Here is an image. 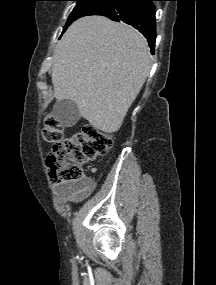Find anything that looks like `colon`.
<instances>
[{
    "mask_svg": "<svg viewBox=\"0 0 216 285\" xmlns=\"http://www.w3.org/2000/svg\"><path fill=\"white\" fill-rule=\"evenodd\" d=\"M43 137L52 144L47 166L56 183L80 181L82 164L105 155L112 146V137L92 125L65 137L62 124L52 116L45 119Z\"/></svg>",
    "mask_w": 216,
    "mask_h": 285,
    "instance_id": "obj_1",
    "label": "colon"
}]
</instances>
